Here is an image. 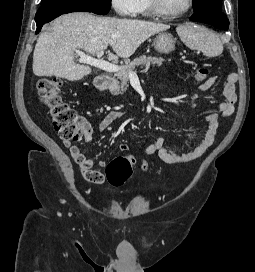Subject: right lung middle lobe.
Listing matches in <instances>:
<instances>
[{"mask_svg":"<svg viewBox=\"0 0 255 272\" xmlns=\"http://www.w3.org/2000/svg\"><path fill=\"white\" fill-rule=\"evenodd\" d=\"M41 6L77 7L105 15L111 8V0H42Z\"/></svg>","mask_w":255,"mask_h":272,"instance_id":"obj_1","label":"right lung middle lobe"}]
</instances>
